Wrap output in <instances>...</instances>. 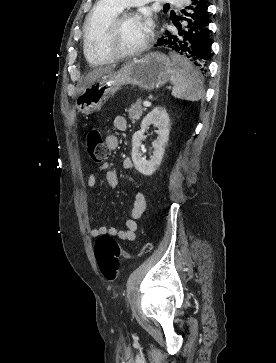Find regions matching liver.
I'll use <instances>...</instances> for the list:
<instances>
[{"label": "liver", "mask_w": 276, "mask_h": 363, "mask_svg": "<svg viewBox=\"0 0 276 363\" xmlns=\"http://www.w3.org/2000/svg\"><path fill=\"white\" fill-rule=\"evenodd\" d=\"M115 67L116 65H111V66L99 67L90 71L84 78L83 87L81 90H84L90 83L94 82L99 77L111 73L115 69Z\"/></svg>", "instance_id": "1"}]
</instances>
